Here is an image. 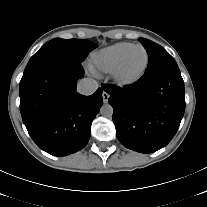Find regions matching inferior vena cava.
I'll return each mask as SVG.
<instances>
[{"label":"inferior vena cava","mask_w":207,"mask_h":207,"mask_svg":"<svg viewBox=\"0 0 207 207\" xmlns=\"http://www.w3.org/2000/svg\"><path fill=\"white\" fill-rule=\"evenodd\" d=\"M98 88V83L91 78H84L77 85V92L82 95H91Z\"/></svg>","instance_id":"inferior-vena-cava-1"}]
</instances>
